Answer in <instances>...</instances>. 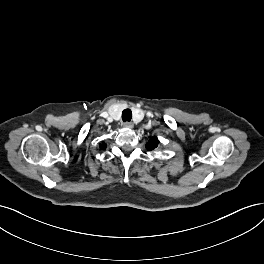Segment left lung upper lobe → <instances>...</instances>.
Wrapping results in <instances>:
<instances>
[{
  "instance_id": "obj_1",
  "label": "left lung upper lobe",
  "mask_w": 264,
  "mask_h": 264,
  "mask_svg": "<svg viewBox=\"0 0 264 264\" xmlns=\"http://www.w3.org/2000/svg\"><path fill=\"white\" fill-rule=\"evenodd\" d=\"M159 144V140L157 137H152L146 144V149H148L149 151L154 150L155 148H157Z\"/></svg>"
}]
</instances>
